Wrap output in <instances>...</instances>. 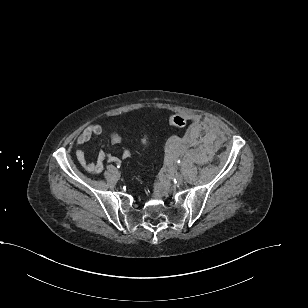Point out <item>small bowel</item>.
<instances>
[{
  "label": "small bowel",
  "instance_id": "obj_1",
  "mask_svg": "<svg viewBox=\"0 0 308 308\" xmlns=\"http://www.w3.org/2000/svg\"><path fill=\"white\" fill-rule=\"evenodd\" d=\"M102 132H103V129H102L101 125L91 124V125L87 126L77 138V145H78V148L76 150L77 160H78L80 166L84 170H86L90 173H94V174L101 173L103 171L104 164L106 162H113V163H119L120 162V160L117 157L109 155L105 152H101L98 155L97 160L94 161V162L89 161L87 159L86 154H85V150H84V146L92 138L101 135ZM109 137H110L111 141L115 144H119L121 142V137L115 132L110 133ZM128 156H129L128 152L123 153L124 158H126Z\"/></svg>",
  "mask_w": 308,
  "mask_h": 308
}]
</instances>
